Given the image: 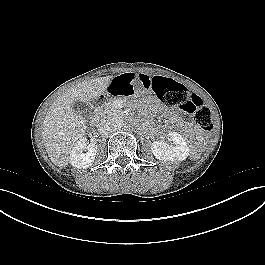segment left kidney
Here are the masks:
<instances>
[{
	"instance_id": "1",
	"label": "left kidney",
	"mask_w": 265,
	"mask_h": 265,
	"mask_svg": "<svg viewBox=\"0 0 265 265\" xmlns=\"http://www.w3.org/2000/svg\"><path fill=\"white\" fill-rule=\"evenodd\" d=\"M172 144L161 140L154 141L151 145L153 155L161 161H183L189 156V147L184 138L177 132H169Z\"/></svg>"
}]
</instances>
